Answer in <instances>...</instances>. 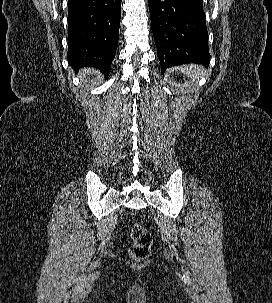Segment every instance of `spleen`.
<instances>
[{
    "label": "spleen",
    "mask_w": 272,
    "mask_h": 303,
    "mask_svg": "<svg viewBox=\"0 0 272 303\" xmlns=\"http://www.w3.org/2000/svg\"><path fill=\"white\" fill-rule=\"evenodd\" d=\"M203 71V67L196 64L184 65L181 67V72L194 81H197L202 76Z\"/></svg>",
    "instance_id": "3e777b00"
}]
</instances>
